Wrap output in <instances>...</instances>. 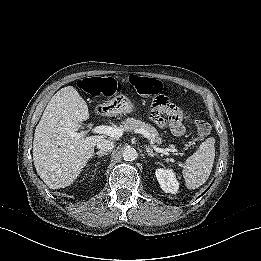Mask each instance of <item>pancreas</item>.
Masks as SVG:
<instances>
[{
  "label": "pancreas",
  "mask_w": 261,
  "mask_h": 261,
  "mask_svg": "<svg viewBox=\"0 0 261 261\" xmlns=\"http://www.w3.org/2000/svg\"><path fill=\"white\" fill-rule=\"evenodd\" d=\"M123 127L127 131H135L136 129H144L149 132L151 138L155 143L158 145L162 144L163 140L159 136L158 131L152 125L145 123L141 120H137L135 118H127L125 121L122 122Z\"/></svg>",
  "instance_id": "cf45deb5"
}]
</instances>
